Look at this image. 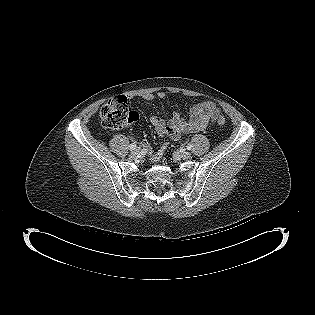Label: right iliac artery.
Listing matches in <instances>:
<instances>
[{"label":"right iliac artery","instance_id":"obj_1","mask_svg":"<svg viewBox=\"0 0 315 315\" xmlns=\"http://www.w3.org/2000/svg\"><path fill=\"white\" fill-rule=\"evenodd\" d=\"M129 149H130L131 151L135 150V149H136V144H135V143L130 144V145H129Z\"/></svg>","mask_w":315,"mask_h":315}]
</instances>
